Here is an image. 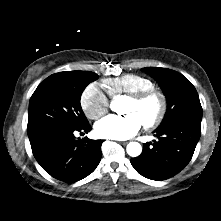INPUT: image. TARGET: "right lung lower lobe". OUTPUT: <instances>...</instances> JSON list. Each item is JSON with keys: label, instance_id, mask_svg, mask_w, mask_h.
Listing matches in <instances>:
<instances>
[{"label": "right lung lower lobe", "instance_id": "1", "mask_svg": "<svg viewBox=\"0 0 221 221\" xmlns=\"http://www.w3.org/2000/svg\"><path fill=\"white\" fill-rule=\"evenodd\" d=\"M87 123L73 127L54 125L29 136L33 155L52 177L67 183L79 181L98 166L103 140L76 139L75 131L88 133Z\"/></svg>", "mask_w": 221, "mask_h": 221}]
</instances>
